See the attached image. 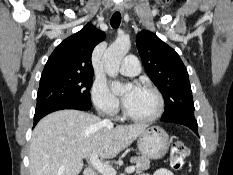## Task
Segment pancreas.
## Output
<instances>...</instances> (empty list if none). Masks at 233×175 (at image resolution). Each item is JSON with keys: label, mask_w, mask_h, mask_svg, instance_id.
Instances as JSON below:
<instances>
[{"label": "pancreas", "mask_w": 233, "mask_h": 175, "mask_svg": "<svg viewBox=\"0 0 233 175\" xmlns=\"http://www.w3.org/2000/svg\"><path fill=\"white\" fill-rule=\"evenodd\" d=\"M130 161L137 164L136 168L139 171L147 170L150 167V160L143 156L131 157Z\"/></svg>", "instance_id": "1"}]
</instances>
